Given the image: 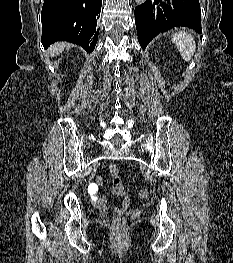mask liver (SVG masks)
I'll return each instance as SVG.
<instances>
[{
    "label": "liver",
    "mask_w": 233,
    "mask_h": 263,
    "mask_svg": "<svg viewBox=\"0 0 233 263\" xmlns=\"http://www.w3.org/2000/svg\"><path fill=\"white\" fill-rule=\"evenodd\" d=\"M66 46H67V44L64 42H57V43L53 44L50 47L51 57H54V56L58 55L59 53H61L66 48Z\"/></svg>",
    "instance_id": "obj_1"
}]
</instances>
